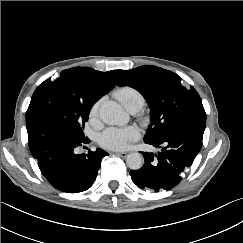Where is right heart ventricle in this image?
<instances>
[{
    "label": "right heart ventricle",
    "instance_id": "e07e8e85",
    "mask_svg": "<svg viewBox=\"0 0 243 243\" xmlns=\"http://www.w3.org/2000/svg\"><path fill=\"white\" fill-rule=\"evenodd\" d=\"M113 95L128 110L136 108L137 110L144 104L143 95L135 88L130 86L118 87Z\"/></svg>",
    "mask_w": 243,
    "mask_h": 243
}]
</instances>
